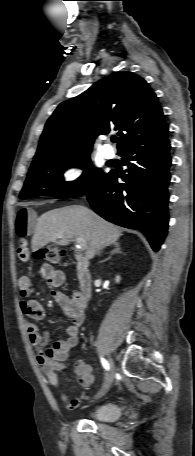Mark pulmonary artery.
Masks as SVG:
<instances>
[{"label": "pulmonary artery", "mask_w": 195, "mask_h": 456, "mask_svg": "<svg viewBox=\"0 0 195 456\" xmlns=\"http://www.w3.org/2000/svg\"><path fill=\"white\" fill-rule=\"evenodd\" d=\"M103 156L107 159H111L114 156V150L109 144H105L101 148Z\"/></svg>", "instance_id": "obj_1"}]
</instances>
